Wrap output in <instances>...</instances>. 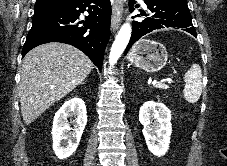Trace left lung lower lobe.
<instances>
[{"label": "left lung lower lobe", "mask_w": 227, "mask_h": 166, "mask_svg": "<svg viewBox=\"0 0 227 166\" xmlns=\"http://www.w3.org/2000/svg\"><path fill=\"white\" fill-rule=\"evenodd\" d=\"M144 2L151 11V16L141 22H133L132 35L125 55L137 40L157 29L168 27L182 28V30L197 37L187 0H144ZM134 3V0H129L131 11H133ZM141 15L144 16L146 14L143 13Z\"/></svg>", "instance_id": "0a47b994"}]
</instances>
